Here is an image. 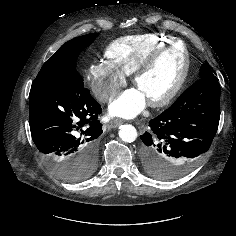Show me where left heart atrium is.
<instances>
[{
  "instance_id": "obj_1",
  "label": "left heart atrium",
  "mask_w": 236,
  "mask_h": 236,
  "mask_svg": "<svg viewBox=\"0 0 236 236\" xmlns=\"http://www.w3.org/2000/svg\"><path fill=\"white\" fill-rule=\"evenodd\" d=\"M146 105V97L138 88H131L114 99L109 106L112 116L132 118Z\"/></svg>"
}]
</instances>
